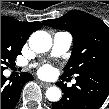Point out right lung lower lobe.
<instances>
[{"label": "right lung lower lobe", "mask_w": 109, "mask_h": 109, "mask_svg": "<svg viewBox=\"0 0 109 109\" xmlns=\"http://www.w3.org/2000/svg\"><path fill=\"white\" fill-rule=\"evenodd\" d=\"M33 79L30 73L22 72L20 76L8 81L1 71V109H13L19 100L24 83Z\"/></svg>", "instance_id": "98d812e1"}]
</instances>
